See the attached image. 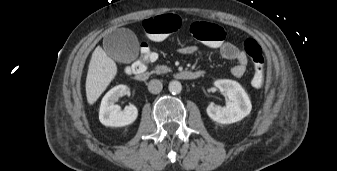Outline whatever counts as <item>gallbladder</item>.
<instances>
[{
    "mask_svg": "<svg viewBox=\"0 0 337 171\" xmlns=\"http://www.w3.org/2000/svg\"><path fill=\"white\" fill-rule=\"evenodd\" d=\"M107 54L115 61L129 63L133 61L139 50L136 36L128 29L120 28L108 34L103 41Z\"/></svg>",
    "mask_w": 337,
    "mask_h": 171,
    "instance_id": "obj_1",
    "label": "gallbladder"
}]
</instances>
